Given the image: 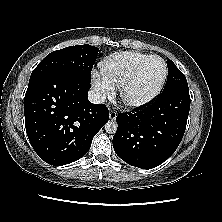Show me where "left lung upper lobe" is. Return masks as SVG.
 I'll list each match as a JSON object with an SVG mask.
<instances>
[{
  "instance_id": "5c2ea615",
  "label": "left lung upper lobe",
  "mask_w": 222,
  "mask_h": 222,
  "mask_svg": "<svg viewBox=\"0 0 222 222\" xmlns=\"http://www.w3.org/2000/svg\"><path fill=\"white\" fill-rule=\"evenodd\" d=\"M168 77L163 91L171 89H188L187 80L184 74L176 67V65L170 60H167Z\"/></svg>"
}]
</instances>
